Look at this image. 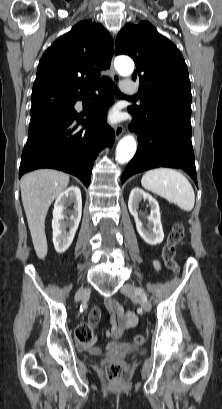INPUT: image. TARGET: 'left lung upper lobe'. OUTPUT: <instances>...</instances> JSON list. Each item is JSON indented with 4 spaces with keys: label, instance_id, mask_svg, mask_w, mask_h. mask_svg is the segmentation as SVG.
<instances>
[{
    "label": "left lung upper lobe",
    "instance_id": "left-lung-upper-lobe-1",
    "mask_svg": "<svg viewBox=\"0 0 222 409\" xmlns=\"http://www.w3.org/2000/svg\"><path fill=\"white\" fill-rule=\"evenodd\" d=\"M115 54L133 58L140 83V107L129 109L144 115L164 108L182 110L191 116V85L185 60L177 47L149 22L126 24L115 42Z\"/></svg>",
    "mask_w": 222,
    "mask_h": 409
}]
</instances>
